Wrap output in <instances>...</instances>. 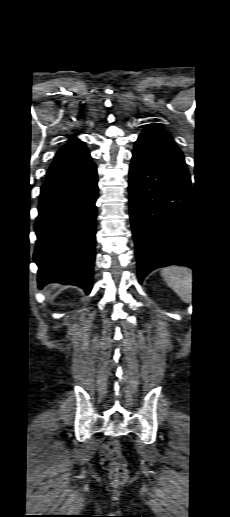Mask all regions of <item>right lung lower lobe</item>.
I'll list each match as a JSON object with an SVG mask.
<instances>
[{
	"label": "right lung lower lobe",
	"mask_w": 230,
	"mask_h": 517,
	"mask_svg": "<svg viewBox=\"0 0 230 517\" xmlns=\"http://www.w3.org/2000/svg\"><path fill=\"white\" fill-rule=\"evenodd\" d=\"M97 170L89 164L68 176L45 181L35 223L39 288L70 284L92 288L95 259Z\"/></svg>",
	"instance_id": "right-lung-lower-lobe-1"
}]
</instances>
